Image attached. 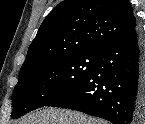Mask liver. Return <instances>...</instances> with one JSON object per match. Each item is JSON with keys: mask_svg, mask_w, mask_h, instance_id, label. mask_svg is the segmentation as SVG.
Here are the masks:
<instances>
[{"mask_svg": "<svg viewBox=\"0 0 145 124\" xmlns=\"http://www.w3.org/2000/svg\"><path fill=\"white\" fill-rule=\"evenodd\" d=\"M20 124H101L82 113L63 109H44L30 114Z\"/></svg>", "mask_w": 145, "mask_h": 124, "instance_id": "liver-1", "label": "liver"}]
</instances>
